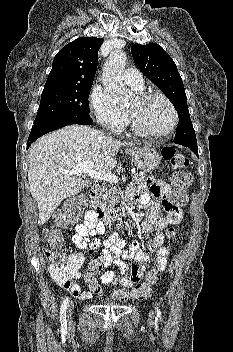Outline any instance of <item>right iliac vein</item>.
Returning a JSON list of instances; mask_svg holds the SVG:
<instances>
[{"instance_id": "obj_1", "label": "right iliac vein", "mask_w": 233, "mask_h": 352, "mask_svg": "<svg viewBox=\"0 0 233 352\" xmlns=\"http://www.w3.org/2000/svg\"><path fill=\"white\" fill-rule=\"evenodd\" d=\"M74 309V304L70 303L67 308V322L70 325L72 323V312Z\"/></svg>"}]
</instances>
